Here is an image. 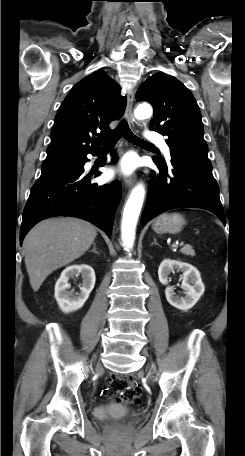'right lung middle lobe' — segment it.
<instances>
[{
    "label": "right lung middle lobe",
    "instance_id": "dd1d6c3e",
    "mask_svg": "<svg viewBox=\"0 0 245 456\" xmlns=\"http://www.w3.org/2000/svg\"><path fill=\"white\" fill-rule=\"evenodd\" d=\"M74 164H75V162L74 163H70V164H66V165H63V166H59V167L42 169V173L41 174H49V173H54V172H58V171H62V170H68V169L73 168Z\"/></svg>",
    "mask_w": 245,
    "mask_h": 456
}]
</instances>
